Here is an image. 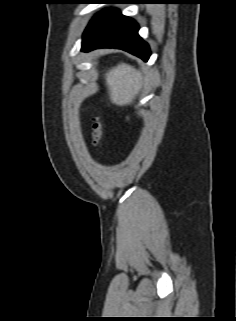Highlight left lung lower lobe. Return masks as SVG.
<instances>
[{"mask_svg":"<svg viewBox=\"0 0 236 321\" xmlns=\"http://www.w3.org/2000/svg\"><path fill=\"white\" fill-rule=\"evenodd\" d=\"M103 4H125L126 0H100ZM138 24L124 16L118 9H108L97 14L83 33L82 51L96 48H118L147 61L150 48L138 35Z\"/></svg>","mask_w":236,"mask_h":321,"instance_id":"1","label":"left lung lower lobe"}]
</instances>
